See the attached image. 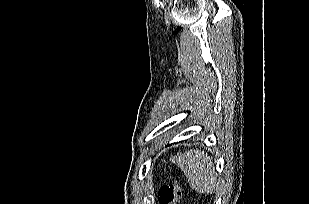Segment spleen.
Here are the masks:
<instances>
[{
  "instance_id": "spleen-1",
  "label": "spleen",
  "mask_w": 309,
  "mask_h": 204,
  "mask_svg": "<svg viewBox=\"0 0 309 204\" xmlns=\"http://www.w3.org/2000/svg\"><path fill=\"white\" fill-rule=\"evenodd\" d=\"M177 165L190 181L193 190L213 193L217 190V174L210 156L200 150H190L179 156Z\"/></svg>"
}]
</instances>
